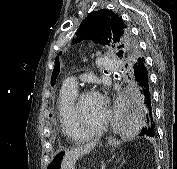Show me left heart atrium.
Masks as SVG:
<instances>
[{"instance_id":"39dd6f15","label":"left heart atrium","mask_w":177,"mask_h":169,"mask_svg":"<svg viewBox=\"0 0 177 169\" xmlns=\"http://www.w3.org/2000/svg\"><path fill=\"white\" fill-rule=\"evenodd\" d=\"M95 96L103 103V101L99 95H95Z\"/></svg>"}]
</instances>
